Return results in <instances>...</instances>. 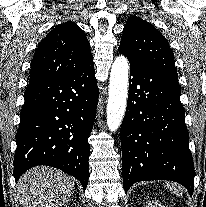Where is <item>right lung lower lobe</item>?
Returning <instances> with one entry per match:
<instances>
[{"label":"right lung lower lobe","instance_id":"98d812e1","mask_svg":"<svg viewBox=\"0 0 206 207\" xmlns=\"http://www.w3.org/2000/svg\"><path fill=\"white\" fill-rule=\"evenodd\" d=\"M94 63L57 79L29 83L16 134L14 178L47 165L88 183L90 145L98 102Z\"/></svg>","mask_w":206,"mask_h":207}]
</instances>
